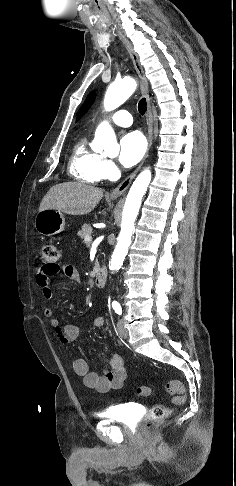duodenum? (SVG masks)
<instances>
[{
    "label": "duodenum",
    "instance_id": "obj_1",
    "mask_svg": "<svg viewBox=\"0 0 236 486\" xmlns=\"http://www.w3.org/2000/svg\"><path fill=\"white\" fill-rule=\"evenodd\" d=\"M95 285L99 288H103L107 282V271L105 268H99L95 273Z\"/></svg>",
    "mask_w": 236,
    "mask_h": 486
}]
</instances>
